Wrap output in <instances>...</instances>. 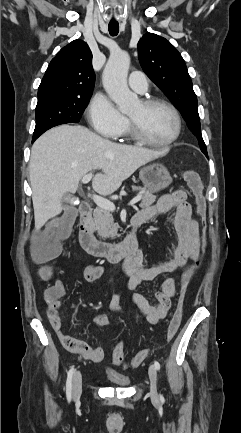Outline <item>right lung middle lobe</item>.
Wrapping results in <instances>:
<instances>
[{
	"instance_id": "1",
	"label": "right lung middle lobe",
	"mask_w": 241,
	"mask_h": 433,
	"mask_svg": "<svg viewBox=\"0 0 241 433\" xmlns=\"http://www.w3.org/2000/svg\"><path fill=\"white\" fill-rule=\"evenodd\" d=\"M90 98L91 96H54L39 99L36 106V126L33 139H37L42 133L54 126L79 122Z\"/></svg>"
}]
</instances>
